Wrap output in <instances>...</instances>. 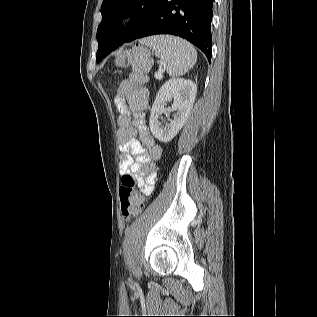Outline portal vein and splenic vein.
<instances>
[{
	"label": "portal vein and splenic vein",
	"instance_id": "portal-vein-and-splenic-vein-1",
	"mask_svg": "<svg viewBox=\"0 0 317 317\" xmlns=\"http://www.w3.org/2000/svg\"><path fill=\"white\" fill-rule=\"evenodd\" d=\"M162 77H163V74L160 71L155 73V78L156 79H162Z\"/></svg>",
	"mask_w": 317,
	"mask_h": 317
}]
</instances>
